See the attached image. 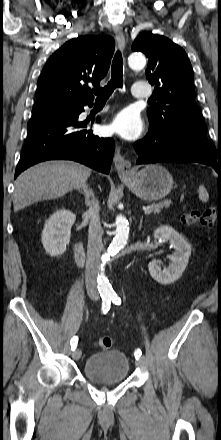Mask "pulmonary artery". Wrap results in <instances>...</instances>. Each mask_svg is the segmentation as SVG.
I'll use <instances>...</instances> for the list:
<instances>
[{"label":"pulmonary artery","instance_id":"pulmonary-artery-1","mask_svg":"<svg viewBox=\"0 0 221 440\" xmlns=\"http://www.w3.org/2000/svg\"><path fill=\"white\" fill-rule=\"evenodd\" d=\"M132 94L137 98L147 99L151 95V91L146 84L136 82L132 86Z\"/></svg>","mask_w":221,"mask_h":440}]
</instances>
